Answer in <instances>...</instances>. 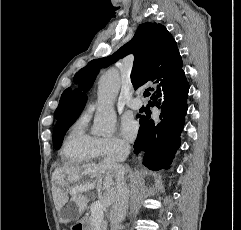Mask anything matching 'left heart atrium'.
Returning <instances> with one entry per match:
<instances>
[{
  "instance_id": "obj_1",
  "label": "left heart atrium",
  "mask_w": 241,
  "mask_h": 230,
  "mask_svg": "<svg viewBox=\"0 0 241 230\" xmlns=\"http://www.w3.org/2000/svg\"><path fill=\"white\" fill-rule=\"evenodd\" d=\"M120 132L124 138L131 141L133 140L138 132V125L131 115L125 114L120 123Z\"/></svg>"
}]
</instances>
